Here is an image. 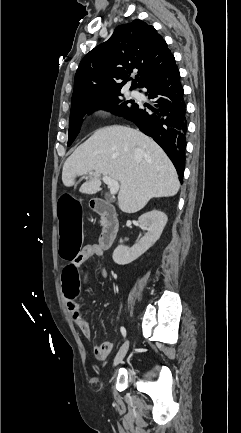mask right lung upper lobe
Masks as SVG:
<instances>
[{"instance_id":"obj_1","label":"right lung upper lobe","mask_w":241,"mask_h":433,"mask_svg":"<svg viewBox=\"0 0 241 433\" xmlns=\"http://www.w3.org/2000/svg\"><path fill=\"white\" fill-rule=\"evenodd\" d=\"M173 62L174 56L153 26L141 20L119 25L108 41L80 62L71 105L120 93L134 69L138 75L131 88L143 87Z\"/></svg>"}]
</instances>
